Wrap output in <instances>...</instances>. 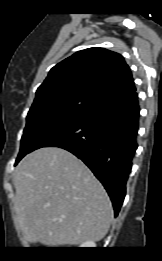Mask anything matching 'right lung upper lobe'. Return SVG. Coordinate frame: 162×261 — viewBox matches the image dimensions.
<instances>
[{"label": "right lung upper lobe", "mask_w": 162, "mask_h": 261, "mask_svg": "<svg viewBox=\"0 0 162 261\" xmlns=\"http://www.w3.org/2000/svg\"><path fill=\"white\" fill-rule=\"evenodd\" d=\"M136 91L124 58L104 48H88L54 66L36 91V98L79 92L103 103Z\"/></svg>", "instance_id": "cb5924a9"}]
</instances>
